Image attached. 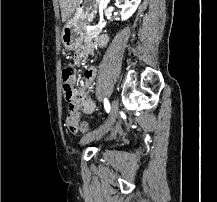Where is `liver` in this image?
Returning <instances> with one entry per match:
<instances>
[{"instance_id": "1", "label": "liver", "mask_w": 217, "mask_h": 202, "mask_svg": "<svg viewBox=\"0 0 217 202\" xmlns=\"http://www.w3.org/2000/svg\"><path fill=\"white\" fill-rule=\"evenodd\" d=\"M79 0H59L62 22H66L74 14Z\"/></svg>"}]
</instances>
